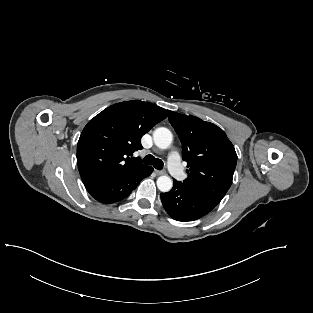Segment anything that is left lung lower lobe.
Returning <instances> with one entry per match:
<instances>
[{
	"mask_svg": "<svg viewBox=\"0 0 313 313\" xmlns=\"http://www.w3.org/2000/svg\"><path fill=\"white\" fill-rule=\"evenodd\" d=\"M173 188L161 193L166 212L177 221H194L213 210L220 202L212 197L190 190L175 179Z\"/></svg>",
	"mask_w": 313,
	"mask_h": 313,
	"instance_id": "1",
	"label": "left lung lower lobe"
}]
</instances>
